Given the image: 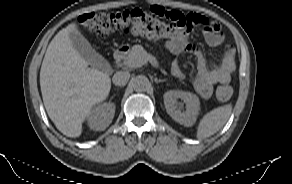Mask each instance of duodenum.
Returning a JSON list of instances; mask_svg holds the SVG:
<instances>
[{"instance_id": "1", "label": "duodenum", "mask_w": 292, "mask_h": 184, "mask_svg": "<svg viewBox=\"0 0 292 184\" xmlns=\"http://www.w3.org/2000/svg\"><path fill=\"white\" fill-rule=\"evenodd\" d=\"M127 51H128L127 47H121L117 49L113 54L114 60L116 62H122L125 59Z\"/></svg>"}]
</instances>
